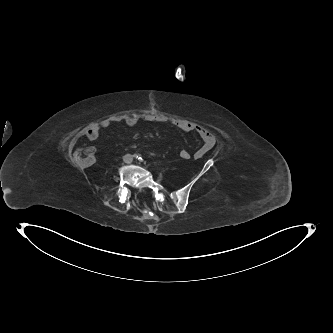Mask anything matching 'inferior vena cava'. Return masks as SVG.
Returning a JSON list of instances; mask_svg holds the SVG:
<instances>
[{"label": "inferior vena cava", "mask_w": 333, "mask_h": 333, "mask_svg": "<svg viewBox=\"0 0 333 333\" xmlns=\"http://www.w3.org/2000/svg\"><path fill=\"white\" fill-rule=\"evenodd\" d=\"M123 161L127 164H130L133 161V156L131 154L124 155L123 156Z\"/></svg>", "instance_id": "inferior-vena-cava-1"}]
</instances>
